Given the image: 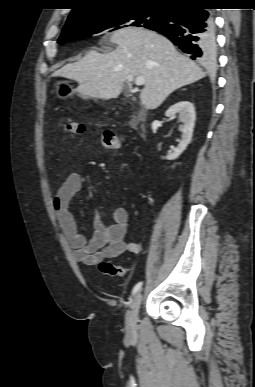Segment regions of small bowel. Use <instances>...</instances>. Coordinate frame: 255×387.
I'll list each match as a JSON object with an SVG mask.
<instances>
[{
    "mask_svg": "<svg viewBox=\"0 0 255 387\" xmlns=\"http://www.w3.org/2000/svg\"><path fill=\"white\" fill-rule=\"evenodd\" d=\"M81 188V175L77 172L68 174L57 189L52 203L59 228L73 248L75 260L92 266L104 259L115 258L126 252L138 253L141 250V244L126 240L129 214L124 207H117L111 211L110 223H105L97 211L94 233L90 238L78 231L69 205Z\"/></svg>",
    "mask_w": 255,
    "mask_h": 387,
    "instance_id": "obj_1",
    "label": "small bowel"
}]
</instances>
